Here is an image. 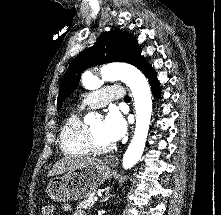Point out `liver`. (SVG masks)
<instances>
[{"mask_svg":"<svg viewBox=\"0 0 221 215\" xmlns=\"http://www.w3.org/2000/svg\"><path fill=\"white\" fill-rule=\"evenodd\" d=\"M93 161V158L67 156L54 164L53 169L48 173V176H57L65 172L83 168Z\"/></svg>","mask_w":221,"mask_h":215,"instance_id":"obj_1","label":"liver"}]
</instances>
